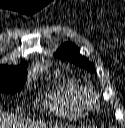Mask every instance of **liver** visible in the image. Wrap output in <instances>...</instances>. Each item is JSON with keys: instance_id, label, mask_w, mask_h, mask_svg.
Returning <instances> with one entry per match:
<instances>
[{"instance_id": "liver-1", "label": "liver", "mask_w": 125, "mask_h": 128, "mask_svg": "<svg viewBox=\"0 0 125 128\" xmlns=\"http://www.w3.org/2000/svg\"><path fill=\"white\" fill-rule=\"evenodd\" d=\"M5 121L4 120H2L1 118H0V128H5ZM36 127H40V128H59L58 126H53V125H46V124H40V125H35Z\"/></svg>"}]
</instances>
